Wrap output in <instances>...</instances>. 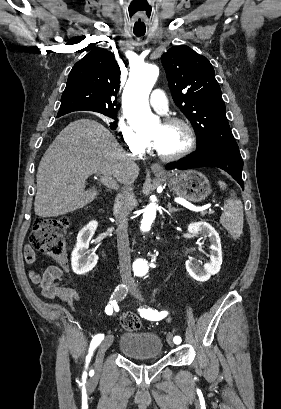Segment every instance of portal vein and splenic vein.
Returning <instances> with one entry per match:
<instances>
[{"instance_id":"obj_1","label":"portal vein and splenic vein","mask_w":281,"mask_h":409,"mask_svg":"<svg viewBox=\"0 0 281 409\" xmlns=\"http://www.w3.org/2000/svg\"><path fill=\"white\" fill-rule=\"evenodd\" d=\"M97 181L99 185H104V187L109 191H112L113 189H119L121 187V182L119 180H114V178H112V176H109V174H105V176H99ZM214 213H216V210L207 209L201 213V216L207 217L208 214Z\"/></svg>"}]
</instances>
